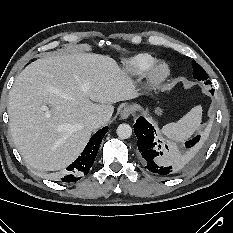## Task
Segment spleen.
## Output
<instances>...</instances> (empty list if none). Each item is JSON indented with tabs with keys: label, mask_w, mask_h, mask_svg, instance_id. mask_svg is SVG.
Listing matches in <instances>:
<instances>
[{
	"label": "spleen",
	"mask_w": 233,
	"mask_h": 233,
	"mask_svg": "<svg viewBox=\"0 0 233 233\" xmlns=\"http://www.w3.org/2000/svg\"><path fill=\"white\" fill-rule=\"evenodd\" d=\"M201 117L202 107L195 106L177 122L163 126L161 133L170 140L183 142L200 128Z\"/></svg>",
	"instance_id": "spleen-1"
}]
</instances>
